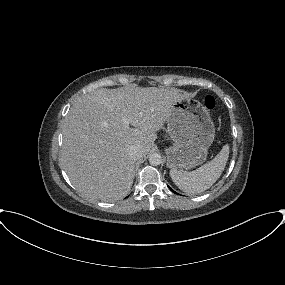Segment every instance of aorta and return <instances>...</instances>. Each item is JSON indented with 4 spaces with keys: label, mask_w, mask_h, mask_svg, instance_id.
<instances>
[{
    "label": "aorta",
    "mask_w": 285,
    "mask_h": 285,
    "mask_svg": "<svg viewBox=\"0 0 285 285\" xmlns=\"http://www.w3.org/2000/svg\"><path fill=\"white\" fill-rule=\"evenodd\" d=\"M149 163L153 166L160 165L162 163V156L159 153H153L149 156Z\"/></svg>",
    "instance_id": "aorta-1"
}]
</instances>
